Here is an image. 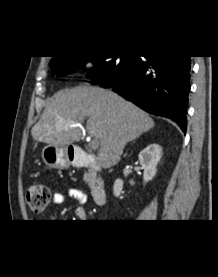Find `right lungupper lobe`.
<instances>
[{"mask_svg": "<svg viewBox=\"0 0 218 277\" xmlns=\"http://www.w3.org/2000/svg\"><path fill=\"white\" fill-rule=\"evenodd\" d=\"M56 57H60V56H54L53 59L56 58Z\"/></svg>", "mask_w": 218, "mask_h": 277, "instance_id": "1", "label": "right lung upper lobe"}]
</instances>
